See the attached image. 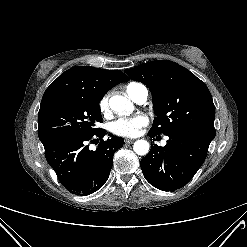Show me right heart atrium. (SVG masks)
Listing matches in <instances>:
<instances>
[{"mask_svg": "<svg viewBox=\"0 0 247 247\" xmlns=\"http://www.w3.org/2000/svg\"><path fill=\"white\" fill-rule=\"evenodd\" d=\"M99 110L103 114H107L109 111V95L105 94L99 101Z\"/></svg>", "mask_w": 247, "mask_h": 247, "instance_id": "right-heart-atrium-1", "label": "right heart atrium"}]
</instances>
